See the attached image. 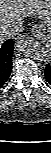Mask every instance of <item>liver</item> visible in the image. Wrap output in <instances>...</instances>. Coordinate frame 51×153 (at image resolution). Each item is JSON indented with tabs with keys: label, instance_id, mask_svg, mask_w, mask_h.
Returning <instances> with one entry per match:
<instances>
[{
	"label": "liver",
	"instance_id": "obj_1",
	"mask_svg": "<svg viewBox=\"0 0 51 153\" xmlns=\"http://www.w3.org/2000/svg\"><path fill=\"white\" fill-rule=\"evenodd\" d=\"M47 1V0H46ZM38 0H0V35L2 30L21 23L22 18L38 16L46 26L51 23L50 2ZM50 1V0H49ZM4 38L1 36V42Z\"/></svg>",
	"mask_w": 51,
	"mask_h": 153
}]
</instances>
